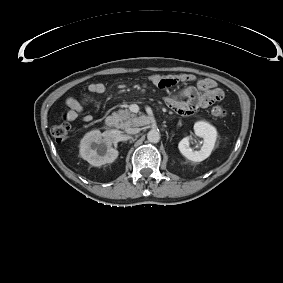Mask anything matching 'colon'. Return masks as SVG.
<instances>
[{
  "mask_svg": "<svg viewBox=\"0 0 283 283\" xmlns=\"http://www.w3.org/2000/svg\"><path fill=\"white\" fill-rule=\"evenodd\" d=\"M211 115L216 119H222L226 116V110L221 105H216L211 109ZM52 136L55 140L62 142L65 141L70 133V125L67 122H63L52 128Z\"/></svg>",
  "mask_w": 283,
  "mask_h": 283,
  "instance_id": "obj_1",
  "label": "colon"
}]
</instances>
